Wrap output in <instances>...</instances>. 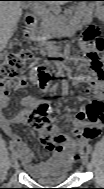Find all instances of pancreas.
<instances>
[{
  "instance_id": "obj_1",
  "label": "pancreas",
  "mask_w": 104,
  "mask_h": 189,
  "mask_svg": "<svg viewBox=\"0 0 104 189\" xmlns=\"http://www.w3.org/2000/svg\"><path fill=\"white\" fill-rule=\"evenodd\" d=\"M89 6L77 7L75 10H68L60 17H53L51 19H43L40 31L37 35H33V39L38 41L40 45H45L46 41L51 38H61L66 35V28L68 26V18L71 23L80 25V23L89 22L92 19ZM48 49V47L46 48Z\"/></svg>"
}]
</instances>
